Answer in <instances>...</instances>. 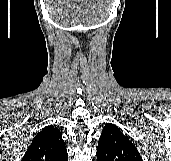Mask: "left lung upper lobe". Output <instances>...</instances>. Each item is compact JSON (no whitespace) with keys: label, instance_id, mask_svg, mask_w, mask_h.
Instances as JSON below:
<instances>
[{"label":"left lung upper lobe","instance_id":"1","mask_svg":"<svg viewBox=\"0 0 171 161\" xmlns=\"http://www.w3.org/2000/svg\"><path fill=\"white\" fill-rule=\"evenodd\" d=\"M97 161H143L133 143L114 124H106L99 138Z\"/></svg>","mask_w":171,"mask_h":161}]
</instances>
